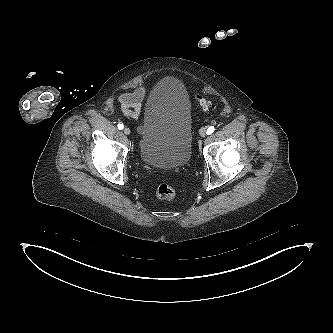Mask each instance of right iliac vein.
Masks as SVG:
<instances>
[{"mask_svg":"<svg viewBox=\"0 0 333 333\" xmlns=\"http://www.w3.org/2000/svg\"><path fill=\"white\" fill-rule=\"evenodd\" d=\"M124 133H125L126 135H129V134L131 133L130 128L126 127V128L124 129Z\"/></svg>","mask_w":333,"mask_h":333,"instance_id":"63e3f726","label":"right iliac vein"}]
</instances>
